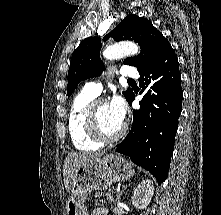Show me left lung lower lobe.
Instances as JSON below:
<instances>
[{
  "label": "left lung lower lobe",
  "instance_id": "obj_1",
  "mask_svg": "<svg viewBox=\"0 0 221 215\" xmlns=\"http://www.w3.org/2000/svg\"><path fill=\"white\" fill-rule=\"evenodd\" d=\"M139 73L140 94L146 93L139 102L140 109L133 111L130 132L115 150L150 171L161 184L167 178L182 110L181 73L170 43ZM134 98L133 94L130 105Z\"/></svg>",
  "mask_w": 221,
  "mask_h": 215
}]
</instances>
